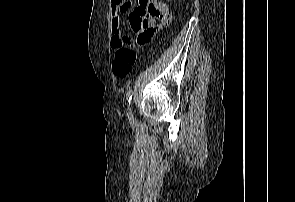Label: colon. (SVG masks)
<instances>
[{"label": "colon", "instance_id": "obj_1", "mask_svg": "<svg viewBox=\"0 0 295 202\" xmlns=\"http://www.w3.org/2000/svg\"><path fill=\"white\" fill-rule=\"evenodd\" d=\"M128 42V38L123 39V44ZM123 44L116 49L112 62L113 74L119 78H125L130 74L136 59L135 52Z\"/></svg>", "mask_w": 295, "mask_h": 202}]
</instances>
